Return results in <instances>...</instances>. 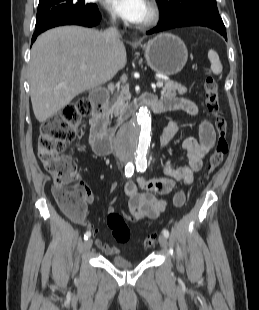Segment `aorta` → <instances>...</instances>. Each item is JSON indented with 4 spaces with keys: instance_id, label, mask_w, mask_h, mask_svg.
<instances>
[{
    "instance_id": "aorta-1",
    "label": "aorta",
    "mask_w": 259,
    "mask_h": 310,
    "mask_svg": "<svg viewBox=\"0 0 259 310\" xmlns=\"http://www.w3.org/2000/svg\"><path fill=\"white\" fill-rule=\"evenodd\" d=\"M151 142V115L147 107H140L132 120L121 130L117 144L128 158H144Z\"/></svg>"
}]
</instances>
